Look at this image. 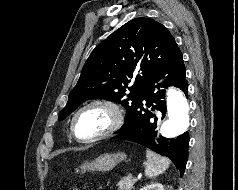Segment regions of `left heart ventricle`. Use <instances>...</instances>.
I'll return each mask as SVG.
<instances>
[{
	"instance_id": "b2bd125f",
	"label": "left heart ventricle",
	"mask_w": 238,
	"mask_h": 190,
	"mask_svg": "<svg viewBox=\"0 0 238 190\" xmlns=\"http://www.w3.org/2000/svg\"><path fill=\"white\" fill-rule=\"evenodd\" d=\"M110 123L107 111L92 108L83 112L76 121V131L81 137H90L103 131Z\"/></svg>"
}]
</instances>
